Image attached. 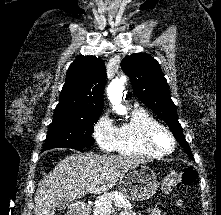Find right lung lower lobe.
I'll return each mask as SVG.
<instances>
[{"label": "right lung lower lobe", "mask_w": 221, "mask_h": 215, "mask_svg": "<svg viewBox=\"0 0 221 215\" xmlns=\"http://www.w3.org/2000/svg\"><path fill=\"white\" fill-rule=\"evenodd\" d=\"M78 150H79V151H83V150H84V148H79Z\"/></svg>", "instance_id": "1"}]
</instances>
